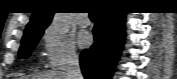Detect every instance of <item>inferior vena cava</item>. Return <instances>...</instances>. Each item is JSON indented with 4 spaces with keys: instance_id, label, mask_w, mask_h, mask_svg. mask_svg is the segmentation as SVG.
Listing matches in <instances>:
<instances>
[{
    "instance_id": "obj_1",
    "label": "inferior vena cava",
    "mask_w": 177,
    "mask_h": 79,
    "mask_svg": "<svg viewBox=\"0 0 177 79\" xmlns=\"http://www.w3.org/2000/svg\"><path fill=\"white\" fill-rule=\"evenodd\" d=\"M65 72L68 79H83L79 64V57L75 52H71L69 54Z\"/></svg>"
}]
</instances>
